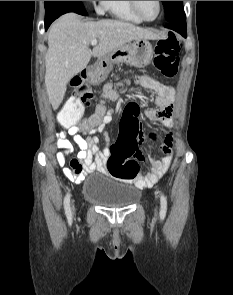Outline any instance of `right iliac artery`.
<instances>
[{
    "label": "right iliac artery",
    "instance_id": "1",
    "mask_svg": "<svg viewBox=\"0 0 233 295\" xmlns=\"http://www.w3.org/2000/svg\"><path fill=\"white\" fill-rule=\"evenodd\" d=\"M70 197H71L70 193H67L64 198L65 214L69 220L72 218V212L70 207Z\"/></svg>",
    "mask_w": 233,
    "mask_h": 295
}]
</instances>
